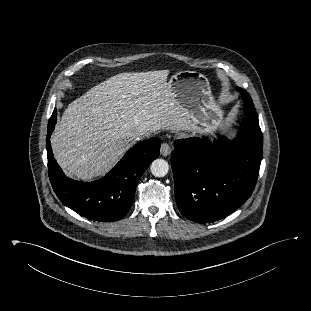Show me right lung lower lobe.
I'll return each instance as SVG.
<instances>
[{
	"mask_svg": "<svg viewBox=\"0 0 311 311\" xmlns=\"http://www.w3.org/2000/svg\"><path fill=\"white\" fill-rule=\"evenodd\" d=\"M54 109L47 130L48 172L60 201L79 215L94 221L112 222L129 211L137 182L150 163L159 156L161 139L151 138L136 144L103 178L80 182L65 176L53 157L50 137L56 124Z\"/></svg>",
	"mask_w": 311,
	"mask_h": 311,
	"instance_id": "obj_1",
	"label": "right lung lower lobe"
}]
</instances>
